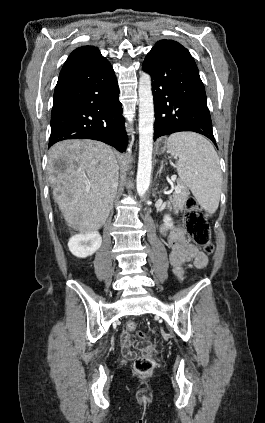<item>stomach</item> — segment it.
Wrapping results in <instances>:
<instances>
[{
  "label": "stomach",
  "instance_id": "stomach-1",
  "mask_svg": "<svg viewBox=\"0 0 265 423\" xmlns=\"http://www.w3.org/2000/svg\"><path fill=\"white\" fill-rule=\"evenodd\" d=\"M167 148V143L166 141H162L159 145H158V152L159 153H163Z\"/></svg>",
  "mask_w": 265,
  "mask_h": 423
}]
</instances>
